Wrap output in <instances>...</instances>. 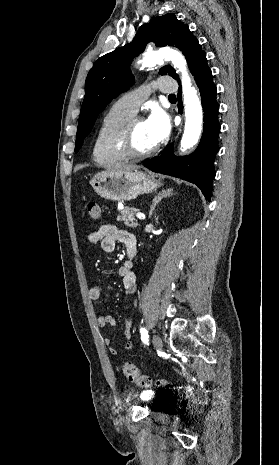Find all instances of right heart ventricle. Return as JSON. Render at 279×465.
Listing matches in <instances>:
<instances>
[{
  "label": "right heart ventricle",
  "instance_id": "right-heart-ventricle-1",
  "mask_svg": "<svg viewBox=\"0 0 279 465\" xmlns=\"http://www.w3.org/2000/svg\"><path fill=\"white\" fill-rule=\"evenodd\" d=\"M134 114L120 106L117 102L113 104L102 117L98 126L93 149V160L101 165L115 163L121 158L114 156L108 150V139L110 135Z\"/></svg>",
  "mask_w": 279,
  "mask_h": 465
}]
</instances>
